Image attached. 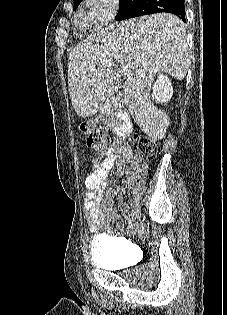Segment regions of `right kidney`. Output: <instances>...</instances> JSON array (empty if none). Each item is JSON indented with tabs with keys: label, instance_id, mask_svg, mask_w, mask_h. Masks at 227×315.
Instances as JSON below:
<instances>
[{
	"label": "right kidney",
	"instance_id": "ca27d5eb",
	"mask_svg": "<svg viewBox=\"0 0 227 315\" xmlns=\"http://www.w3.org/2000/svg\"><path fill=\"white\" fill-rule=\"evenodd\" d=\"M173 86L166 75L158 74L157 81L152 86L150 97L156 99V102H167L172 98Z\"/></svg>",
	"mask_w": 227,
	"mask_h": 315
}]
</instances>
